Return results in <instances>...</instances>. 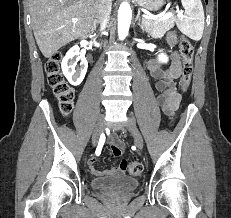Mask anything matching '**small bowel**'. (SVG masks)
Listing matches in <instances>:
<instances>
[{
  "instance_id": "small-bowel-1",
  "label": "small bowel",
  "mask_w": 231,
  "mask_h": 218,
  "mask_svg": "<svg viewBox=\"0 0 231 218\" xmlns=\"http://www.w3.org/2000/svg\"><path fill=\"white\" fill-rule=\"evenodd\" d=\"M166 40L169 45L174 46L176 37L174 34L169 33ZM148 69L151 77L158 80L155 85L159 92L157 102L162 107L164 114L171 119L175 111L178 109L181 101V94L177 86V80L182 74L180 57L177 52H173L171 63L164 71L160 69L158 61L153 59L149 62ZM109 141L112 145L121 146L115 135H111ZM96 156L98 155L96 154ZM88 165L91 173L96 176L121 175L125 172V168L121 165V163L110 170H98L96 168V157H91L88 161Z\"/></svg>"
}]
</instances>
